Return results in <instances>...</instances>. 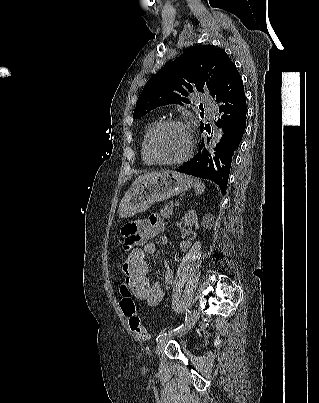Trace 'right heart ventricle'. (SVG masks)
<instances>
[{"mask_svg":"<svg viewBox=\"0 0 319 403\" xmlns=\"http://www.w3.org/2000/svg\"><path fill=\"white\" fill-rule=\"evenodd\" d=\"M159 123L158 120L150 121L143 134L142 142H141V156L142 160L146 165H154L155 162L150 158L148 151H147V142L151 131L155 128V126Z\"/></svg>","mask_w":319,"mask_h":403,"instance_id":"e07e8e85","label":"right heart ventricle"}]
</instances>
